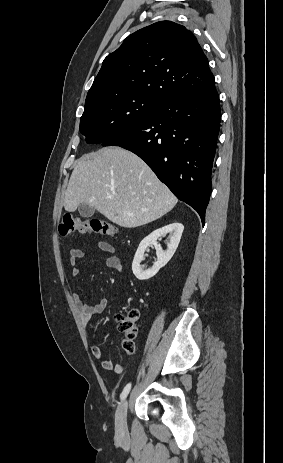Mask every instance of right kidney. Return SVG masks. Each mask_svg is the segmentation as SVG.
Segmentation results:
<instances>
[{
	"label": "right kidney",
	"instance_id": "ca27d5eb",
	"mask_svg": "<svg viewBox=\"0 0 283 463\" xmlns=\"http://www.w3.org/2000/svg\"><path fill=\"white\" fill-rule=\"evenodd\" d=\"M183 230L184 226L175 222L153 231L141 241L132 263V271L137 279L147 280L153 277L169 262L178 247ZM166 234H169L170 241L167 244V250L163 251L161 245L157 243V239ZM150 245L155 246L157 261L151 268L144 270L140 263L144 258L145 250Z\"/></svg>",
	"mask_w": 283,
	"mask_h": 463
}]
</instances>
